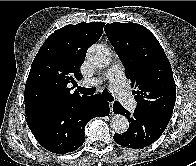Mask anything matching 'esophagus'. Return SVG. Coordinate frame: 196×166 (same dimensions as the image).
Returning <instances> with one entry per match:
<instances>
[{
	"mask_svg": "<svg viewBox=\"0 0 196 166\" xmlns=\"http://www.w3.org/2000/svg\"><path fill=\"white\" fill-rule=\"evenodd\" d=\"M109 106H110V114L113 115V102H109Z\"/></svg>",
	"mask_w": 196,
	"mask_h": 166,
	"instance_id": "1",
	"label": "esophagus"
}]
</instances>
